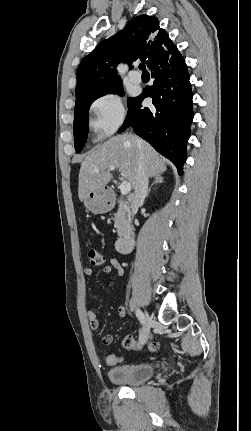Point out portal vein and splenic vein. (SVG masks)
I'll list each match as a JSON object with an SVG mask.
<instances>
[{
    "instance_id": "18ae733b",
    "label": "portal vein and splenic vein",
    "mask_w": 251,
    "mask_h": 431,
    "mask_svg": "<svg viewBox=\"0 0 251 431\" xmlns=\"http://www.w3.org/2000/svg\"><path fill=\"white\" fill-rule=\"evenodd\" d=\"M109 170L113 171L115 170V166H109ZM94 172L98 173V169H94ZM131 191V185L128 181H123L120 185V192L122 195H127Z\"/></svg>"
}]
</instances>
